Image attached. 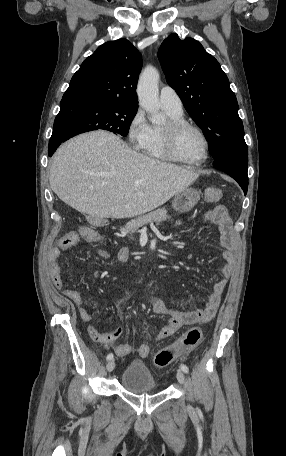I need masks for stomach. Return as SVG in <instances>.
<instances>
[{"mask_svg": "<svg viewBox=\"0 0 286 456\" xmlns=\"http://www.w3.org/2000/svg\"><path fill=\"white\" fill-rule=\"evenodd\" d=\"M200 193L198 190L193 188H186L180 193L176 194L173 201L172 207L179 213H185L190 211L199 201Z\"/></svg>", "mask_w": 286, "mask_h": 456, "instance_id": "obj_1", "label": "stomach"}]
</instances>
